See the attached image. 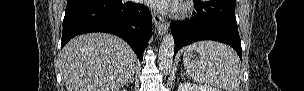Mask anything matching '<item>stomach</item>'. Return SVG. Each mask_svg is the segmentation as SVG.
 I'll return each mask as SVG.
<instances>
[{"label":"stomach","mask_w":304,"mask_h":91,"mask_svg":"<svg viewBox=\"0 0 304 91\" xmlns=\"http://www.w3.org/2000/svg\"><path fill=\"white\" fill-rule=\"evenodd\" d=\"M183 55H187V57L189 59H191L192 57L195 56V51L194 50H190V46L185 48L184 51H183Z\"/></svg>","instance_id":"1"}]
</instances>
